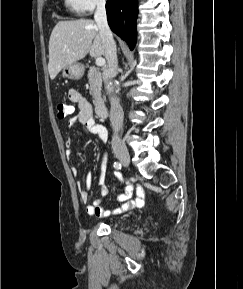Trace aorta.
Returning <instances> with one entry per match:
<instances>
[{"instance_id":"1","label":"aorta","mask_w":243,"mask_h":289,"mask_svg":"<svg viewBox=\"0 0 243 289\" xmlns=\"http://www.w3.org/2000/svg\"><path fill=\"white\" fill-rule=\"evenodd\" d=\"M108 88H109L110 91L113 89L112 86H109Z\"/></svg>"}]
</instances>
